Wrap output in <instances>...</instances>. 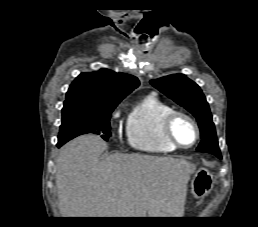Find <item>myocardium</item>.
<instances>
[{
	"instance_id": "myocardium-1",
	"label": "myocardium",
	"mask_w": 258,
	"mask_h": 227,
	"mask_svg": "<svg viewBox=\"0 0 258 227\" xmlns=\"http://www.w3.org/2000/svg\"><path fill=\"white\" fill-rule=\"evenodd\" d=\"M177 118L186 119L187 121H189L191 123V125L193 126V128L195 130V139L190 145L181 144L174 135L173 125ZM162 132H163L164 137L170 143H172L175 147L181 148V149H188V148L193 147L198 142L199 137H200V129H199V126H198L197 122L195 121V119L193 117H191L190 115H188L187 113L178 111V110H172L163 118Z\"/></svg>"
}]
</instances>
